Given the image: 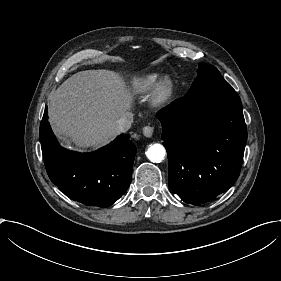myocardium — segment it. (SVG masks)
<instances>
[{"instance_id": "myocardium-1", "label": "myocardium", "mask_w": 281, "mask_h": 281, "mask_svg": "<svg viewBox=\"0 0 281 281\" xmlns=\"http://www.w3.org/2000/svg\"><path fill=\"white\" fill-rule=\"evenodd\" d=\"M172 92V81L168 78H163L155 88L153 100L156 104H163L170 98Z\"/></svg>"}]
</instances>
